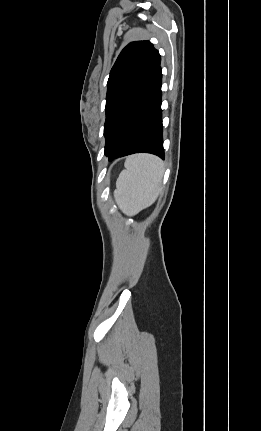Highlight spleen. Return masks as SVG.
Listing matches in <instances>:
<instances>
[{
    "label": "spleen",
    "instance_id": "spleen-1",
    "mask_svg": "<svg viewBox=\"0 0 261 431\" xmlns=\"http://www.w3.org/2000/svg\"><path fill=\"white\" fill-rule=\"evenodd\" d=\"M116 182L115 199L126 214L135 215L152 205L161 190L163 163L157 157L138 154L128 157Z\"/></svg>",
    "mask_w": 261,
    "mask_h": 431
}]
</instances>
